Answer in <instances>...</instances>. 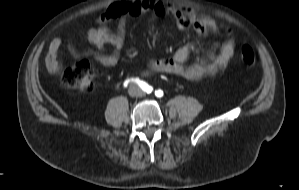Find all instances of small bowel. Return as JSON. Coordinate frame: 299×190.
<instances>
[{
	"label": "small bowel",
	"mask_w": 299,
	"mask_h": 190,
	"mask_svg": "<svg viewBox=\"0 0 299 190\" xmlns=\"http://www.w3.org/2000/svg\"><path fill=\"white\" fill-rule=\"evenodd\" d=\"M144 13L155 16L172 15L177 19L179 30H185L193 26L198 34L208 31H216L217 23L206 16H199L186 8L164 4L160 0H124L108 6L103 14L95 20L104 23H114L116 28L112 31L107 25L92 27L88 31V39L95 47L93 52H79L70 44L68 50L73 58L86 59L92 57L103 66L115 65L124 45L126 35L125 16L136 17ZM227 39L221 44L216 53H212L208 60L187 65V59L192 49V44L186 42L181 45L171 58H147V66L153 72L168 73L181 76L188 80H199L205 76L215 75L227 66L234 54L235 42L231 32L227 33ZM110 45L113 51L106 53L104 47ZM62 46V39L54 38L49 44L46 63L48 69L55 72L58 69L57 54Z\"/></svg>",
	"instance_id": "1"
}]
</instances>
